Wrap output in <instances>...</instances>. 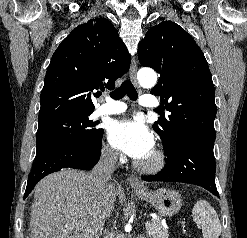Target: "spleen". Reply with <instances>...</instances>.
Segmentation results:
<instances>
[{
	"mask_svg": "<svg viewBox=\"0 0 247 238\" xmlns=\"http://www.w3.org/2000/svg\"><path fill=\"white\" fill-rule=\"evenodd\" d=\"M192 217L201 227L204 238H218L221 234L219 217L208 201H197L192 210Z\"/></svg>",
	"mask_w": 247,
	"mask_h": 238,
	"instance_id": "obj_1",
	"label": "spleen"
}]
</instances>
